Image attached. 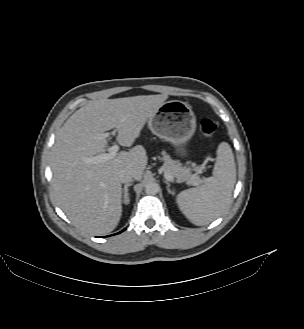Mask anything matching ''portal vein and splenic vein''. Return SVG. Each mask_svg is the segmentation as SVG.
Listing matches in <instances>:
<instances>
[{
  "mask_svg": "<svg viewBox=\"0 0 304 329\" xmlns=\"http://www.w3.org/2000/svg\"><path fill=\"white\" fill-rule=\"evenodd\" d=\"M110 135H114V131L111 132V133H105L104 136L107 138L109 137ZM119 150V146L117 144H114L113 146H111L109 149H108V153H102V154H99V155H96V156H93V157H88L85 159V162L86 163H94V164H97V163H102V162H105V161H108L110 159H113L117 152ZM164 177L168 180V181H171L173 182L174 181V178L167 172H164ZM203 181H200V182H191V185H194V186H198L200 183H202Z\"/></svg>",
  "mask_w": 304,
  "mask_h": 329,
  "instance_id": "obj_1",
  "label": "portal vein and splenic vein"
}]
</instances>
